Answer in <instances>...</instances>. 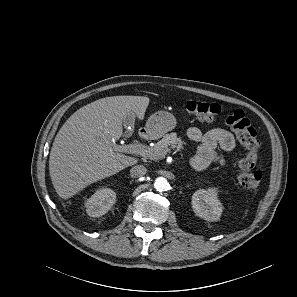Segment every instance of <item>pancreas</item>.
I'll return each mask as SVG.
<instances>
[{
    "mask_svg": "<svg viewBox=\"0 0 297 297\" xmlns=\"http://www.w3.org/2000/svg\"><path fill=\"white\" fill-rule=\"evenodd\" d=\"M183 144L184 142L181 137L177 136V133L172 132L170 134H166L155 144L154 147H152L155 156L149 158L152 160L161 159L171 151V148H177L178 150L183 149Z\"/></svg>",
    "mask_w": 297,
    "mask_h": 297,
    "instance_id": "1",
    "label": "pancreas"
}]
</instances>
